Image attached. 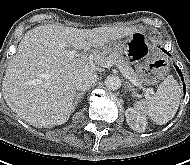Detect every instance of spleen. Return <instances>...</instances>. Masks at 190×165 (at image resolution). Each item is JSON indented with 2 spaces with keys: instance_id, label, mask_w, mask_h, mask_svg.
I'll use <instances>...</instances> for the list:
<instances>
[{
  "instance_id": "3e777b00",
  "label": "spleen",
  "mask_w": 190,
  "mask_h": 165,
  "mask_svg": "<svg viewBox=\"0 0 190 165\" xmlns=\"http://www.w3.org/2000/svg\"><path fill=\"white\" fill-rule=\"evenodd\" d=\"M181 95V86L172 75H169L158 86L153 99L135 102L134 109L141 114L147 115L156 124H166L176 114Z\"/></svg>"
}]
</instances>
